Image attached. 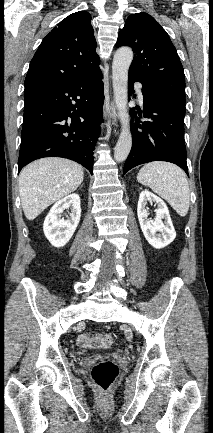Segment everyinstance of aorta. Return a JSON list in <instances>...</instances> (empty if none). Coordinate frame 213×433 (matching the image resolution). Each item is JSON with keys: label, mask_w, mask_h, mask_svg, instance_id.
<instances>
[{"label": "aorta", "mask_w": 213, "mask_h": 433, "mask_svg": "<svg viewBox=\"0 0 213 433\" xmlns=\"http://www.w3.org/2000/svg\"><path fill=\"white\" fill-rule=\"evenodd\" d=\"M133 60V51L129 47L119 48L112 63V83L114 99L121 122V134L114 149V159L123 162L132 147L130 132V116L127 109L128 102V73Z\"/></svg>", "instance_id": "1"}]
</instances>
